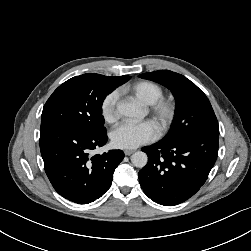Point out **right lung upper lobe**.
Wrapping results in <instances>:
<instances>
[{"instance_id":"obj_1","label":"right lung upper lobe","mask_w":251,"mask_h":251,"mask_svg":"<svg viewBox=\"0 0 251 251\" xmlns=\"http://www.w3.org/2000/svg\"><path fill=\"white\" fill-rule=\"evenodd\" d=\"M115 80H117L118 82L124 84L125 82H127L131 77L128 75H124V76H119V77H112Z\"/></svg>"}]
</instances>
